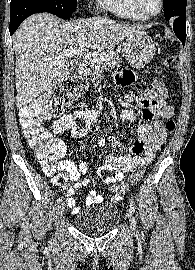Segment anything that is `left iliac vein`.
<instances>
[{
	"instance_id": "obj_1",
	"label": "left iliac vein",
	"mask_w": 195,
	"mask_h": 270,
	"mask_svg": "<svg viewBox=\"0 0 195 270\" xmlns=\"http://www.w3.org/2000/svg\"><path fill=\"white\" fill-rule=\"evenodd\" d=\"M127 216L129 218V222H130V229L132 232H135L137 230V225H136V221L133 217V213L131 212V209L127 210Z\"/></svg>"
}]
</instances>
